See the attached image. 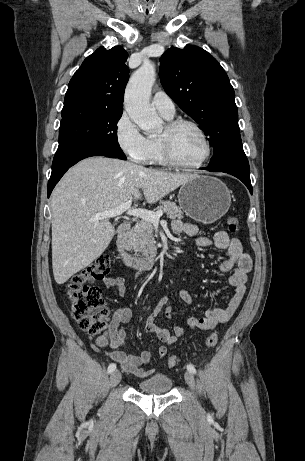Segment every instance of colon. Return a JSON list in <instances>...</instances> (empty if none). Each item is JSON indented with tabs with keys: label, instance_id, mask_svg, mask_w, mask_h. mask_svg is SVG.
I'll return each mask as SVG.
<instances>
[{
	"label": "colon",
	"instance_id": "colon-1",
	"mask_svg": "<svg viewBox=\"0 0 305 461\" xmlns=\"http://www.w3.org/2000/svg\"><path fill=\"white\" fill-rule=\"evenodd\" d=\"M227 226L233 233L239 232V221L236 217L227 219ZM111 260L108 255L98 256L90 265L73 274L64 284L65 294L72 316L81 329L89 334H99L107 327L109 310L104 305V299L98 286L89 282L106 278L111 273ZM218 342V335L211 333L206 344L213 347ZM179 359L171 356L168 359L170 368L176 366Z\"/></svg>",
	"mask_w": 305,
	"mask_h": 461
}]
</instances>
